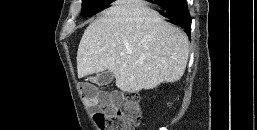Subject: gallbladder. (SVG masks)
<instances>
[{"label":"gallbladder","instance_id":"obj_1","mask_svg":"<svg viewBox=\"0 0 257 130\" xmlns=\"http://www.w3.org/2000/svg\"><path fill=\"white\" fill-rule=\"evenodd\" d=\"M113 77H114L113 73L109 71H104L97 74L95 77H90L89 80L98 86H104L111 83L113 80Z\"/></svg>","mask_w":257,"mask_h":130}]
</instances>
